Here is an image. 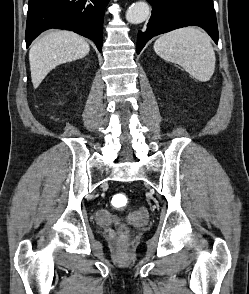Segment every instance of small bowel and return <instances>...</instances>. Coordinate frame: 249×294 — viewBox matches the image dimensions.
<instances>
[{
	"label": "small bowel",
	"mask_w": 249,
	"mask_h": 294,
	"mask_svg": "<svg viewBox=\"0 0 249 294\" xmlns=\"http://www.w3.org/2000/svg\"><path fill=\"white\" fill-rule=\"evenodd\" d=\"M137 217L141 220H144L146 218V214L144 213V211H140L138 214H137Z\"/></svg>",
	"instance_id": "c3829d8e"
}]
</instances>
